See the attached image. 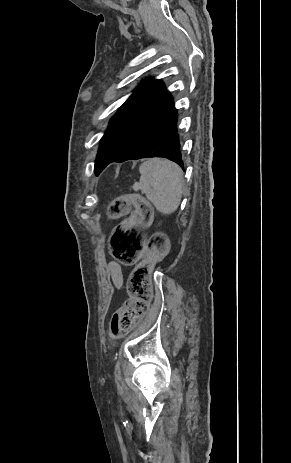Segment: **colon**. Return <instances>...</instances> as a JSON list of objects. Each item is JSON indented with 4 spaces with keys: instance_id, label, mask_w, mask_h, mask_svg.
Returning a JSON list of instances; mask_svg holds the SVG:
<instances>
[{
    "instance_id": "colon-1",
    "label": "colon",
    "mask_w": 291,
    "mask_h": 463,
    "mask_svg": "<svg viewBox=\"0 0 291 463\" xmlns=\"http://www.w3.org/2000/svg\"><path fill=\"white\" fill-rule=\"evenodd\" d=\"M130 207L134 208L131 216L112 230L109 251L111 256L123 265L140 263L129 279V299L111 319L110 335L113 338L126 334L134 322L145 313L150 297L151 261L163 254L168 246L163 233H153L146 241L142 232L137 229L150 224L153 215L151 206L140 195L115 198L110 211L112 215L120 216Z\"/></svg>"
}]
</instances>
